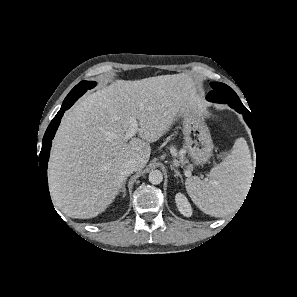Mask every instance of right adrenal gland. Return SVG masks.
Returning <instances> with one entry per match:
<instances>
[{"label": "right adrenal gland", "instance_id": "1", "mask_svg": "<svg viewBox=\"0 0 297 297\" xmlns=\"http://www.w3.org/2000/svg\"><path fill=\"white\" fill-rule=\"evenodd\" d=\"M125 184H126V180H124L123 185H122L121 189L118 192V193L122 192L123 193V197H125V195H126Z\"/></svg>", "mask_w": 297, "mask_h": 297}]
</instances>
